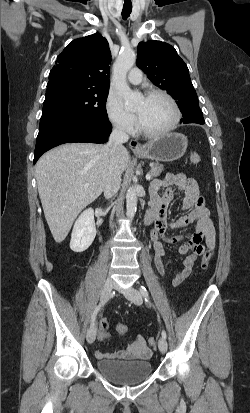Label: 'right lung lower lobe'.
Segmentation results:
<instances>
[{"instance_id":"98d812e1","label":"right lung lower lobe","mask_w":250,"mask_h":413,"mask_svg":"<svg viewBox=\"0 0 250 413\" xmlns=\"http://www.w3.org/2000/svg\"><path fill=\"white\" fill-rule=\"evenodd\" d=\"M112 131L108 119H62L39 129L34 164L49 149L68 142L104 143Z\"/></svg>"}]
</instances>
